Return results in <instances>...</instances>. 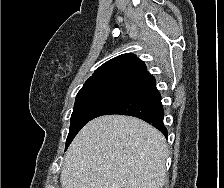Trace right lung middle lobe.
I'll use <instances>...</instances> for the list:
<instances>
[{
  "label": "right lung middle lobe",
  "mask_w": 224,
  "mask_h": 188,
  "mask_svg": "<svg viewBox=\"0 0 224 188\" xmlns=\"http://www.w3.org/2000/svg\"><path fill=\"white\" fill-rule=\"evenodd\" d=\"M130 81L113 78L84 84L76 96L69 134L66 140V149L80 129L91 120L93 114Z\"/></svg>",
  "instance_id": "right-lung-middle-lobe-1"
}]
</instances>
